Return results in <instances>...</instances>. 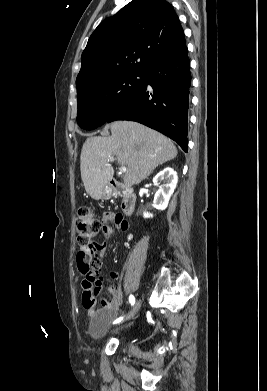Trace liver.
I'll return each instance as SVG.
<instances>
[{
    "label": "liver",
    "instance_id": "1",
    "mask_svg": "<svg viewBox=\"0 0 267 391\" xmlns=\"http://www.w3.org/2000/svg\"><path fill=\"white\" fill-rule=\"evenodd\" d=\"M109 127L111 136L87 138L81 151V178L93 199L101 198L102 189L113 178L109 157H117L126 166L124 183L133 186L148 178L159 165L177 156L170 139L142 124L116 121Z\"/></svg>",
    "mask_w": 267,
    "mask_h": 391
}]
</instances>
